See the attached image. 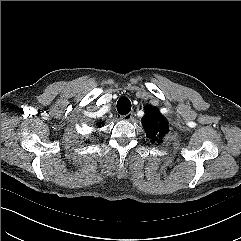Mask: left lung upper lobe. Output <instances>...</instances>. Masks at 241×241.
I'll return each instance as SVG.
<instances>
[{"instance_id":"1","label":"left lung upper lobe","mask_w":241,"mask_h":241,"mask_svg":"<svg viewBox=\"0 0 241 241\" xmlns=\"http://www.w3.org/2000/svg\"><path fill=\"white\" fill-rule=\"evenodd\" d=\"M142 121L147 137L152 142L161 143V137L168 131L169 126L166 119L158 112V109L149 106Z\"/></svg>"}]
</instances>
